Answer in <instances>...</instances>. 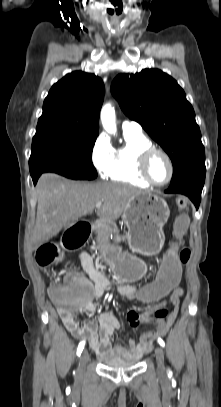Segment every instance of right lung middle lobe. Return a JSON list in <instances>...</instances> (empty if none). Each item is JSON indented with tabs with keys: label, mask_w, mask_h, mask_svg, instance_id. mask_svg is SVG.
I'll list each match as a JSON object with an SVG mask.
<instances>
[{
	"label": "right lung middle lobe",
	"mask_w": 221,
	"mask_h": 407,
	"mask_svg": "<svg viewBox=\"0 0 221 407\" xmlns=\"http://www.w3.org/2000/svg\"><path fill=\"white\" fill-rule=\"evenodd\" d=\"M96 138L68 131L36 132L29 159L31 176L56 172L76 180L95 179L92 150Z\"/></svg>",
	"instance_id": "dd1d6c3e"
}]
</instances>
